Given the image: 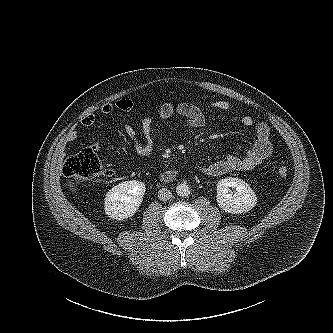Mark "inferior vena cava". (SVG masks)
I'll return each instance as SVG.
<instances>
[{
    "label": "inferior vena cava",
    "mask_w": 333,
    "mask_h": 333,
    "mask_svg": "<svg viewBox=\"0 0 333 333\" xmlns=\"http://www.w3.org/2000/svg\"><path fill=\"white\" fill-rule=\"evenodd\" d=\"M172 197V193L167 188H162L158 191V198L161 201H167Z\"/></svg>",
    "instance_id": "obj_1"
}]
</instances>
